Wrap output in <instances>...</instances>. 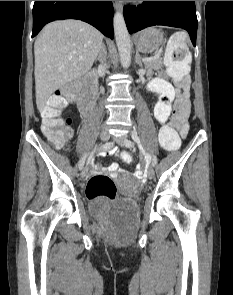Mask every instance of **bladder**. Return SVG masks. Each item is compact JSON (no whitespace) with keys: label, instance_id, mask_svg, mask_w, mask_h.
I'll return each mask as SVG.
<instances>
[{"label":"bladder","instance_id":"bladder-1","mask_svg":"<svg viewBox=\"0 0 233 295\" xmlns=\"http://www.w3.org/2000/svg\"><path fill=\"white\" fill-rule=\"evenodd\" d=\"M108 209H109V211L117 209L119 212L127 213V214L128 213H135L136 204L131 199H124V200H121V201L117 202V204L109 207Z\"/></svg>","mask_w":233,"mask_h":295}]
</instances>
